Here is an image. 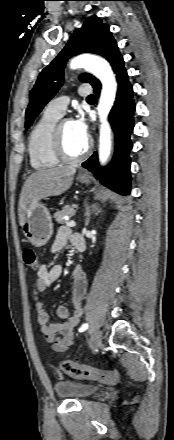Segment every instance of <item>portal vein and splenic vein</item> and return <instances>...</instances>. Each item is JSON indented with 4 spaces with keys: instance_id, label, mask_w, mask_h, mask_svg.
I'll return each mask as SVG.
<instances>
[{
    "instance_id": "obj_1",
    "label": "portal vein and splenic vein",
    "mask_w": 174,
    "mask_h": 440,
    "mask_svg": "<svg viewBox=\"0 0 174 440\" xmlns=\"http://www.w3.org/2000/svg\"><path fill=\"white\" fill-rule=\"evenodd\" d=\"M66 225L69 227H74L76 225V223L73 220L67 221Z\"/></svg>"
}]
</instances>
